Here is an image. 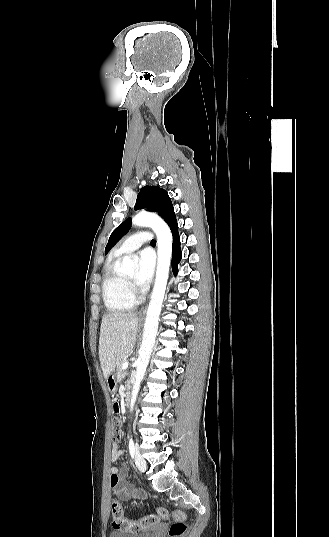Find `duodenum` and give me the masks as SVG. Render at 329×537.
<instances>
[{"mask_svg":"<svg viewBox=\"0 0 329 537\" xmlns=\"http://www.w3.org/2000/svg\"><path fill=\"white\" fill-rule=\"evenodd\" d=\"M129 398V392L126 393L125 399L128 400Z\"/></svg>","mask_w":329,"mask_h":537,"instance_id":"1","label":"duodenum"}]
</instances>
